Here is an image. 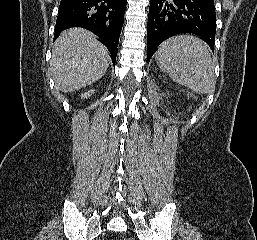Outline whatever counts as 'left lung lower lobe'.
Listing matches in <instances>:
<instances>
[{
  "instance_id": "1",
  "label": "left lung lower lobe",
  "mask_w": 257,
  "mask_h": 240,
  "mask_svg": "<svg viewBox=\"0 0 257 240\" xmlns=\"http://www.w3.org/2000/svg\"><path fill=\"white\" fill-rule=\"evenodd\" d=\"M183 33L201 37L214 51V0H151L147 23L148 62L164 40Z\"/></svg>"
}]
</instances>
